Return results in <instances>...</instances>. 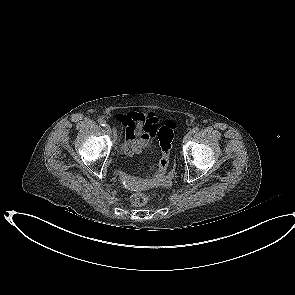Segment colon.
Returning <instances> with one entry per match:
<instances>
[{
    "mask_svg": "<svg viewBox=\"0 0 295 295\" xmlns=\"http://www.w3.org/2000/svg\"><path fill=\"white\" fill-rule=\"evenodd\" d=\"M176 125L172 121L166 122L162 127L154 128L158 136L161 149V158L158 164L157 178H162L169 166L171 143L174 137ZM150 195L145 192H136L131 196V202L135 206H144L148 203Z\"/></svg>",
    "mask_w": 295,
    "mask_h": 295,
    "instance_id": "5ec220e1",
    "label": "colon"
}]
</instances>
